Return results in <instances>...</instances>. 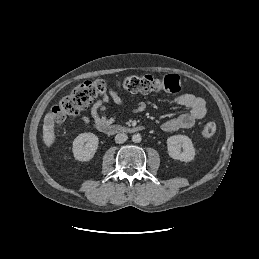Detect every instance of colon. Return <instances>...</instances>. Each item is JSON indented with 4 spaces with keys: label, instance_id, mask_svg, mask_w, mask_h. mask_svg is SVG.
Returning <instances> with one entry per match:
<instances>
[{
    "label": "colon",
    "instance_id": "1",
    "mask_svg": "<svg viewBox=\"0 0 259 259\" xmlns=\"http://www.w3.org/2000/svg\"><path fill=\"white\" fill-rule=\"evenodd\" d=\"M130 93L148 94L151 92L178 93L182 89V82L179 76L171 74L163 77H156L150 74L141 76H128L116 83ZM107 84L103 80H90L76 86L68 95L63 97L57 105L52 108V118L56 123H62L68 118L78 115L86 109L98 97L105 95ZM217 127L214 122L206 123L201 135L204 139H211L216 134Z\"/></svg>",
    "mask_w": 259,
    "mask_h": 259
}]
</instances>
